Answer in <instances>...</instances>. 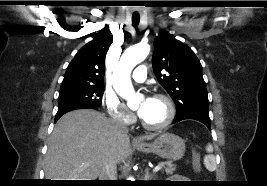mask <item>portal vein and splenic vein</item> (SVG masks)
Here are the masks:
<instances>
[{
  "mask_svg": "<svg viewBox=\"0 0 267 186\" xmlns=\"http://www.w3.org/2000/svg\"><path fill=\"white\" fill-rule=\"evenodd\" d=\"M161 168H162L161 165H157V166L153 169V172L156 173V172H158Z\"/></svg>",
  "mask_w": 267,
  "mask_h": 186,
  "instance_id": "1",
  "label": "portal vein and splenic vein"
}]
</instances>
